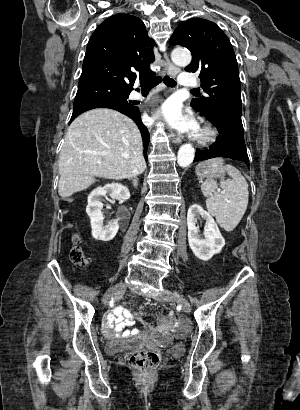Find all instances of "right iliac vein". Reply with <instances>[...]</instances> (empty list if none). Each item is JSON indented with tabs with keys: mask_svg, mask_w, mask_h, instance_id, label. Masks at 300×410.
Segmentation results:
<instances>
[{
	"mask_svg": "<svg viewBox=\"0 0 300 410\" xmlns=\"http://www.w3.org/2000/svg\"><path fill=\"white\" fill-rule=\"evenodd\" d=\"M125 284L124 283H118L115 285L113 288L108 290V292L104 296V303H108L111 297H116L123 293L125 291Z\"/></svg>",
	"mask_w": 300,
	"mask_h": 410,
	"instance_id": "63e3f726",
	"label": "right iliac vein"
}]
</instances>
